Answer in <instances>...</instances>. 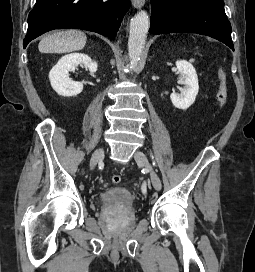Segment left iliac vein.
Returning a JSON list of instances; mask_svg holds the SVG:
<instances>
[{"label":"left iliac vein","instance_id":"obj_1","mask_svg":"<svg viewBox=\"0 0 255 272\" xmlns=\"http://www.w3.org/2000/svg\"><path fill=\"white\" fill-rule=\"evenodd\" d=\"M134 158L139 165L144 166L149 170L153 187L156 190H160L161 189V180H160L159 176L157 175V173L152 168V166L150 165L147 156L142 151H136L134 154Z\"/></svg>","mask_w":255,"mask_h":272}]
</instances>
